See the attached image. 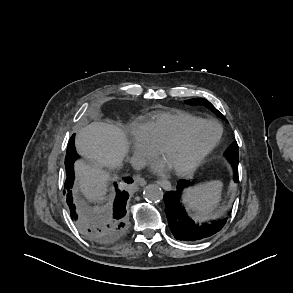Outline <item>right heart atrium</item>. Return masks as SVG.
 <instances>
[{
  "instance_id": "1",
  "label": "right heart atrium",
  "mask_w": 293,
  "mask_h": 293,
  "mask_svg": "<svg viewBox=\"0 0 293 293\" xmlns=\"http://www.w3.org/2000/svg\"><path fill=\"white\" fill-rule=\"evenodd\" d=\"M131 133L134 157L138 164L143 163L156 152V147L151 143L141 125L133 127Z\"/></svg>"
}]
</instances>
